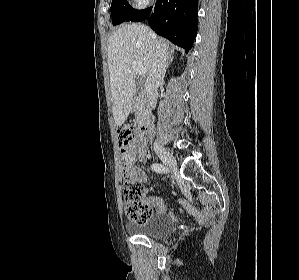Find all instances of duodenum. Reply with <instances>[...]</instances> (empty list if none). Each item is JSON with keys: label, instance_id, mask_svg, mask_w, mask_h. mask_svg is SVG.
Wrapping results in <instances>:
<instances>
[{"label": "duodenum", "instance_id": "1", "mask_svg": "<svg viewBox=\"0 0 299 280\" xmlns=\"http://www.w3.org/2000/svg\"><path fill=\"white\" fill-rule=\"evenodd\" d=\"M144 93L140 94V97H144ZM151 126L148 122L144 121L139 126V135L142 139H146L150 134Z\"/></svg>", "mask_w": 299, "mask_h": 280}]
</instances>
